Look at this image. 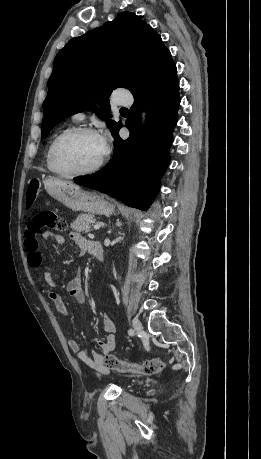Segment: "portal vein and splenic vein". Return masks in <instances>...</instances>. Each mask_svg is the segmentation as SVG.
I'll list each match as a JSON object with an SVG mask.
<instances>
[{
    "instance_id": "18ae733b",
    "label": "portal vein and splenic vein",
    "mask_w": 261,
    "mask_h": 459,
    "mask_svg": "<svg viewBox=\"0 0 261 459\" xmlns=\"http://www.w3.org/2000/svg\"><path fill=\"white\" fill-rule=\"evenodd\" d=\"M93 228H94L95 230H99V229H100V225H99V224H95V225H93Z\"/></svg>"
}]
</instances>
